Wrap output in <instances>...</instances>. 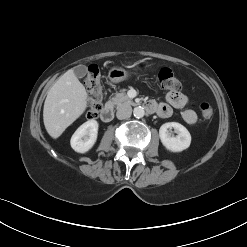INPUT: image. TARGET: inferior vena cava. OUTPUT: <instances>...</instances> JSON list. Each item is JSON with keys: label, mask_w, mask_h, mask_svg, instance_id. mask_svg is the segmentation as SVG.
Returning a JSON list of instances; mask_svg holds the SVG:
<instances>
[{"label": "inferior vena cava", "mask_w": 247, "mask_h": 247, "mask_svg": "<svg viewBox=\"0 0 247 247\" xmlns=\"http://www.w3.org/2000/svg\"><path fill=\"white\" fill-rule=\"evenodd\" d=\"M131 114H132V107L130 105L124 104L118 107L116 116L118 119L122 120L129 118Z\"/></svg>", "instance_id": "1"}]
</instances>
